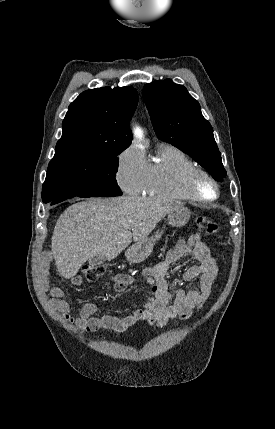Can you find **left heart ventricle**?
Masks as SVG:
<instances>
[{
    "mask_svg": "<svg viewBox=\"0 0 275 429\" xmlns=\"http://www.w3.org/2000/svg\"><path fill=\"white\" fill-rule=\"evenodd\" d=\"M199 190L200 193L207 198H212L215 194L214 187L206 180L200 181Z\"/></svg>",
    "mask_w": 275,
    "mask_h": 429,
    "instance_id": "1",
    "label": "left heart ventricle"
}]
</instances>
